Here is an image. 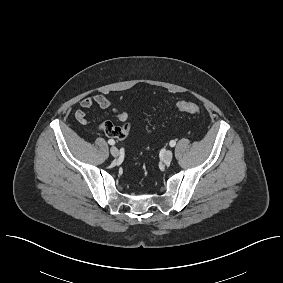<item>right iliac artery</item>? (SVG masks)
<instances>
[{
  "label": "right iliac artery",
  "instance_id": "82829eb1",
  "mask_svg": "<svg viewBox=\"0 0 283 283\" xmlns=\"http://www.w3.org/2000/svg\"><path fill=\"white\" fill-rule=\"evenodd\" d=\"M108 143H109L110 145H114V144H115V141H114L113 139H109V140H108Z\"/></svg>",
  "mask_w": 283,
  "mask_h": 283
}]
</instances>
